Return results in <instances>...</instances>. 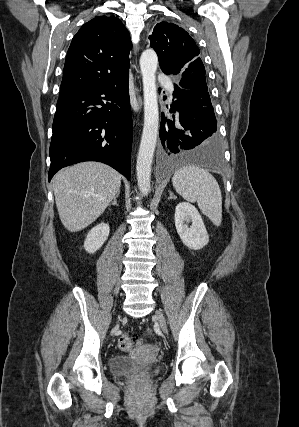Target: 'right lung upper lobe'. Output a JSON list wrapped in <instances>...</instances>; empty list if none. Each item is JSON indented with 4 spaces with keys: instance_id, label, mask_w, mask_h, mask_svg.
Segmentation results:
<instances>
[{
    "instance_id": "1",
    "label": "right lung upper lobe",
    "mask_w": 299,
    "mask_h": 427,
    "mask_svg": "<svg viewBox=\"0 0 299 427\" xmlns=\"http://www.w3.org/2000/svg\"><path fill=\"white\" fill-rule=\"evenodd\" d=\"M131 40L122 22L98 16L85 23L68 49L60 97L115 79L129 69Z\"/></svg>"
}]
</instances>
